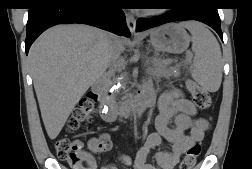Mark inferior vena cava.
Segmentation results:
<instances>
[{"label": "inferior vena cava", "mask_w": 252, "mask_h": 169, "mask_svg": "<svg viewBox=\"0 0 252 169\" xmlns=\"http://www.w3.org/2000/svg\"><path fill=\"white\" fill-rule=\"evenodd\" d=\"M122 46L119 39L113 35L108 44V74L114 75L115 70L121 65Z\"/></svg>", "instance_id": "1"}]
</instances>
